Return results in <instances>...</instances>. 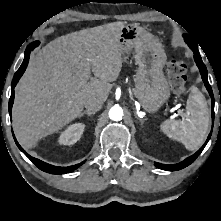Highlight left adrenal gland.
<instances>
[{"mask_svg": "<svg viewBox=\"0 0 221 221\" xmlns=\"http://www.w3.org/2000/svg\"><path fill=\"white\" fill-rule=\"evenodd\" d=\"M138 119H139L141 124H143L146 121V119H140V118H138Z\"/></svg>", "mask_w": 221, "mask_h": 221, "instance_id": "obj_1", "label": "left adrenal gland"}]
</instances>
